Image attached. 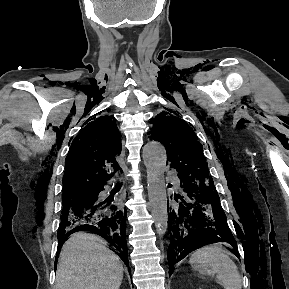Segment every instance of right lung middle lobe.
Instances as JSON below:
<instances>
[{"label": "right lung middle lobe", "instance_id": "right-lung-middle-lobe-1", "mask_svg": "<svg viewBox=\"0 0 289 289\" xmlns=\"http://www.w3.org/2000/svg\"><path fill=\"white\" fill-rule=\"evenodd\" d=\"M89 198H90L89 192H83V193H79V194L71 195V196H63L62 214H63V211L69 212L70 209L72 210L73 207L82 204Z\"/></svg>", "mask_w": 289, "mask_h": 289}]
</instances>
